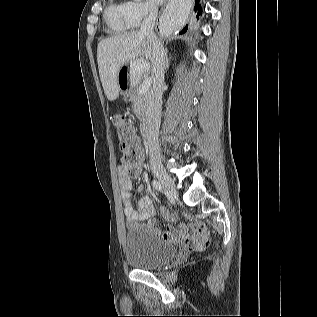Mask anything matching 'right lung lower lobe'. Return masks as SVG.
I'll list each match as a JSON object with an SVG mask.
<instances>
[{
  "mask_svg": "<svg viewBox=\"0 0 317 317\" xmlns=\"http://www.w3.org/2000/svg\"><path fill=\"white\" fill-rule=\"evenodd\" d=\"M198 2H199V0H196V5H195V7H194V10L198 12V13H197L198 15H201V13H202V8H201V5L198 4ZM197 18H198V16H197ZM186 30H187V26L182 30L181 33L185 32Z\"/></svg>",
  "mask_w": 317,
  "mask_h": 317,
  "instance_id": "right-lung-lower-lobe-1",
  "label": "right lung lower lobe"
}]
</instances>
